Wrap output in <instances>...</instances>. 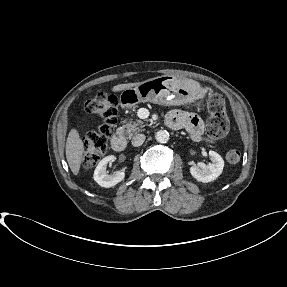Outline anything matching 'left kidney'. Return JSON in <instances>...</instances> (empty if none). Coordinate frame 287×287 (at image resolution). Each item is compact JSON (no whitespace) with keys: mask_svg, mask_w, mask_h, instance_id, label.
Listing matches in <instances>:
<instances>
[{"mask_svg":"<svg viewBox=\"0 0 287 287\" xmlns=\"http://www.w3.org/2000/svg\"><path fill=\"white\" fill-rule=\"evenodd\" d=\"M210 164L199 162L190 168L191 175L198 181L207 183L215 180L223 171L224 160L215 151L210 150Z\"/></svg>","mask_w":287,"mask_h":287,"instance_id":"5707ae66","label":"left kidney"}]
</instances>
